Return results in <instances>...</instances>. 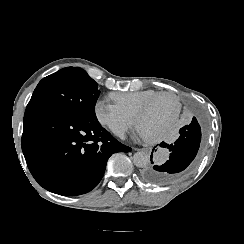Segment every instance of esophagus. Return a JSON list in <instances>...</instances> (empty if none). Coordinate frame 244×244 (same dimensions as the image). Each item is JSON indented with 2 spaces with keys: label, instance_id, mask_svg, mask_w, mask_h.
Masks as SVG:
<instances>
[{
  "label": "esophagus",
  "instance_id": "esophagus-1",
  "mask_svg": "<svg viewBox=\"0 0 244 244\" xmlns=\"http://www.w3.org/2000/svg\"><path fill=\"white\" fill-rule=\"evenodd\" d=\"M151 147H146V148H134V150L136 151H143V152H146V153H150L151 152Z\"/></svg>",
  "mask_w": 244,
  "mask_h": 244
}]
</instances>
